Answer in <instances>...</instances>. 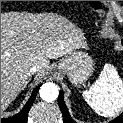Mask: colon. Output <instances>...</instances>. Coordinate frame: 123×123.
<instances>
[{
    "mask_svg": "<svg viewBox=\"0 0 123 123\" xmlns=\"http://www.w3.org/2000/svg\"><path fill=\"white\" fill-rule=\"evenodd\" d=\"M89 5L94 12H96L100 16L104 15L105 11L101 1H90Z\"/></svg>",
    "mask_w": 123,
    "mask_h": 123,
    "instance_id": "colon-1",
    "label": "colon"
}]
</instances>
